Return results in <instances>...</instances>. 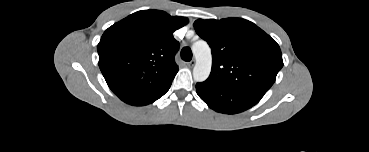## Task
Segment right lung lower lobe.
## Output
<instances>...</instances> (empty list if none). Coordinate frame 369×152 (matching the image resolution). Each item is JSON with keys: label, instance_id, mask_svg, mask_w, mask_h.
<instances>
[{"label": "right lung lower lobe", "instance_id": "obj_1", "mask_svg": "<svg viewBox=\"0 0 369 152\" xmlns=\"http://www.w3.org/2000/svg\"><path fill=\"white\" fill-rule=\"evenodd\" d=\"M170 88V87H169ZM169 88L167 89V90H165L162 94H160L159 96H157V97H155V98H153V99H151V100H148V101H146V102H144V103H142V104H140L139 106H142V105H147V104H150V103H152V102H154L155 100H157V99H159L161 96H163L168 90H169Z\"/></svg>", "mask_w": 369, "mask_h": 152}]
</instances>
